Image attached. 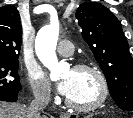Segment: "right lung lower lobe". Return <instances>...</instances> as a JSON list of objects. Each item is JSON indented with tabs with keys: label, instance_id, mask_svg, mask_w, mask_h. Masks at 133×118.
I'll return each mask as SVG.
<instances>
[{
	"label": "right lung lower lobe",
	"instance_id": "1",
	"mask_svg": "<svg viewBox=\"0 0 133 118\" xmlns=\"http://www.w3.org/2000/svg\"><path fill=\"white\" fill-rule=\"evenodd\" d=\"M21 89L22 87L19 90ZM19 90H16L10 93H0V100L8 101V102H15L17 100V93Z\"/></svg>",
	"mask_w": 133,
	"mask_h": 118
}]
</instances>
